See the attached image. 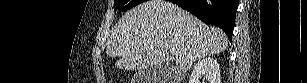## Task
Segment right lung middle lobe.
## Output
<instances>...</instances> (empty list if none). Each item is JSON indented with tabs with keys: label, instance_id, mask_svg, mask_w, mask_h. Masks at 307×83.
<instances>
[{
	"label": "right lung middle lobe",
	"instance_id": "right-lung-middle-lobe-1",
	"mask_svg": "<svg viewBox=\"0 0 307 83\" xmlns=\"http://www.w3.org/2000/svg\"><path fill=\"white\" fill-rule=\"evenodd\" d=\"M144 1L145 0H115L114 4L121 11H127Z\"/></svg>",
	"mask_w": 307,
	"mask_h": 83
}]
</instances>
